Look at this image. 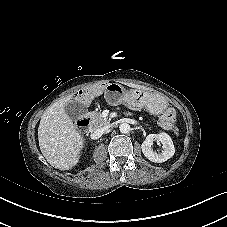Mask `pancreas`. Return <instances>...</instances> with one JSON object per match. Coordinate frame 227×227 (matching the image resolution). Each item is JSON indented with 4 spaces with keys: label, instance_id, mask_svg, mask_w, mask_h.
<instances>
[{
    "label": "pancreas",
    "instance_id": "cf45deb5",
    "mask_svg": "<svg viewBox=\"0 0 227 227\" xmlns=\"http://www.w3.org/2000/svg\"><path fill=\"white\" fill-rule=\"evenodd\" d=\"M89 117L91 118L95 127L106 126L110 123V121L107 118H104L100 112H96V111L90 112ZM174 133L178 134L177 129L174 130Z\"/></svg>",
    "mask_w": 227,
    "mask_h": 227
}]
</instances>
